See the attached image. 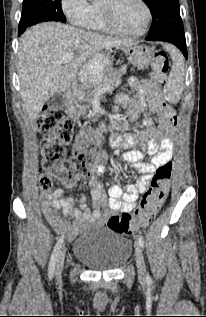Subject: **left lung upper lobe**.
I'll return each mask as SVG.
<instances>
[{
  "instance_id": "5c2ea615",
  "label": "left lung upper lobe",
  "mask_w": 206,
  "mask_h": 317,
  "mask_svg": "<svg viewBox=\"0 0 206 317\" xmlns=\"http://www.w3.org/2000/svg\"><path fill=\"white\" fill-rule=\"evenodd\" d=\"M151 10L153 22L147 40L185 38L179 0H143Z\"/></svg>"
}]
</instances>
